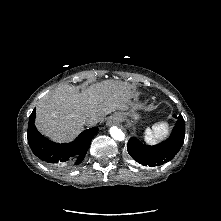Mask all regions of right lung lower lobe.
Returning a JSON list of instances; mask_svg holds the SVG:
<instances>
[{
    "instance_id": "right-lung-lower-lobe-1",
    "label": "right lung lower lobe",
    "mask_w": 221,
    "mask_h": 221,
    "mask_svg": "<svg viewBox=\"0 0 221 221\" xmlns=\"http://www.w3.org/2000/svg\"><path fill=\"white\" fill-rule=\"evenodd\" d=\"M35 116V110H33L29 117L27 130L28 144L34 155L61 169H70L80 164L90 147L91 140L98 132V128L85 130L71 143L58 144L38 132L34 125Z\"/></svg>"
}]
</instances>
